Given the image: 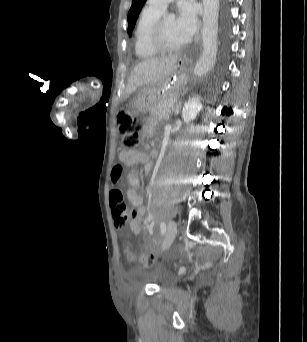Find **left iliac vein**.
<instances>
[{"mask_svg": "<svg viewBox=\"0 0 307 342\" xmlns=\"http://www.w3.org/2000/svg\"><path fill=\"white\" fill-rule=\"evenodd\" d=\"M178 233V226L174 220H171L167 226V233L162 243V251H165L173 243Z\"/></svg>", "mask_w": 307, "mask_h": 342, "instance_id": "4c4485c4", "label": "left iliac vein"}]
</instances>
